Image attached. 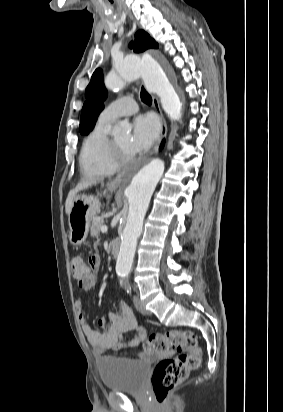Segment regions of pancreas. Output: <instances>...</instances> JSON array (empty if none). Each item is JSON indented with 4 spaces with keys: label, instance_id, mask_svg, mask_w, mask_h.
Returning <instances> with one entry per match:
<instances>
[{
    "label": "pancreas",
    "instance_id": "1",
    "mask_svg": "<svg viewBox=\"0 0 283 412\" xmlns=\"http://www.w3.org/2000/svg\"><path fill=\"white\" fill-rule=\"evenodd\" d=\"M104 225V220L102 218H96L92 221L91 225V236L98 238L100 235L101 227Z\"/></svg>",
    "mask_w": 283,
    "mask_h": 412
}]
</instances>
